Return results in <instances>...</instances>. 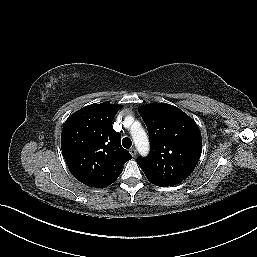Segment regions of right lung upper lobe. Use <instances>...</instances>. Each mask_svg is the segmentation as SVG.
Here are the masks:
<instances>
[{"instance_id":"right-lung-upper-lobe-1","label":"right lung upper lobe","mask_w":257,"mask_h":257,"mask_svg":"<svg viewBox=\"0 0 257 257\" xmlns=\"http://www.w3.org/2000/svg\"><path fill=\"white\" fill-rule=\"evenodd\" d=\"M122 108L104 102L88 105L66 120L61 133L63 157L72 175L90 187L112 184L132 158L121 146L112 120Z\"/></svg>"}]
</instances>
